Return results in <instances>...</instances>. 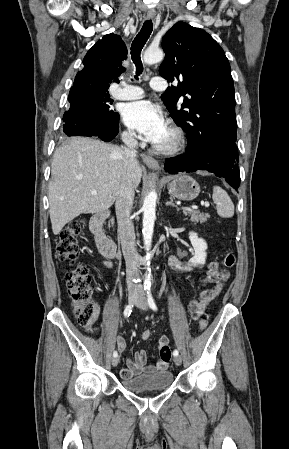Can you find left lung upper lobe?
I'll list each match as a JSON object with an SVG mask.
<instances>
[{"label":"left lung upper lobe","mask_w":289,"mask_h":449,"mask_svg":"<svg viewBox=\"0 0 289 449\" xmlns=\"http://www.w3.org/2000/svg\"><path fill=\"white\" fill-rule=\"evenodd\" d=\"M162 48L166 56L159 74L178 82L162 95L174 121L194 141L214 131L229 133L236 140L233 79L220 45L204 30L178 22L163 37ZM181 96L183 104L177 110Z\"/></svg>","instance_id":"left-lung-upper-lobe-1"}]
</instances>
